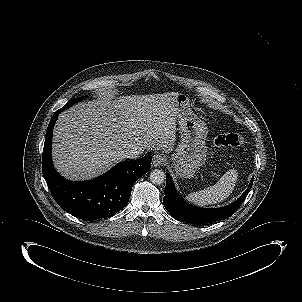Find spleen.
<instances>
[{
	"mask_svg": "<svg viewBox=\"0 0 302 302\" xmlns=\"http://www.w3.org/2000/svg\"><path fill=\"white\" fill-rule=\"evenodd\" d=\"M238 173L235 169L227 171L216 184L201 191L190 193L186 196L187 200L199 205L206 206L216 204L225 200L233 191Z\"/></svg>",
	"mask_w": 302,
	"mask_h": 302,
	"instance_id": "1",
	"label": "spleen"
}]
</instances>
